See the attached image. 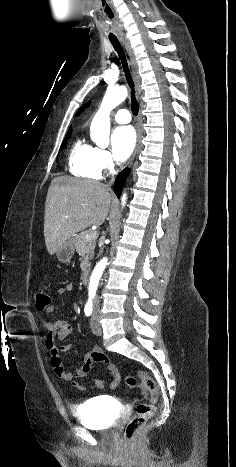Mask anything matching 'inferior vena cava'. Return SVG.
I'll return each mask as SVG.
<instances>
[{"label": "inferior vena cava", "mask_w": 236, "mask_h": 467, "mask_svg": "<svg viewBox=\"0 0 236 467\" xmlns=\"http://www.w3.org/2000/svg\"><path fill=\"white\" fill-rule=\"evenodd\" d=\"M114 181V178H112V180L109 182V184H107V187H109ZM99 298L96 296L95 299H94V307L95 308H98L99 306Z\"/></svg>", "instance_id": "obj_1"}]
</instances>
